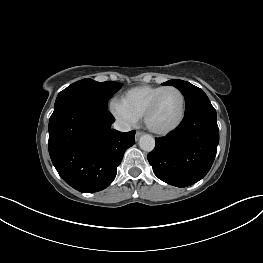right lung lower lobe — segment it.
<instances>
[{
    "instance_id": "right-lung-lower-lobe-1",
    "label": "right lung lower lobe",
    "mask_w": 263,
    "mask_h": 263,
    "mask_svg": "<svg viewBox=\"0 0 263 263\" xmlns=\"http://www.w3.org/2000/svg\"><path fill=\"white\" fill-rule=\"evenodd\" d=\"M115 121L104 108L69 104L49 121V154L61 178L80 192H97L116 177L124 152L135 143V131L111 129Z\"/></svg>"
}]
</instances>
